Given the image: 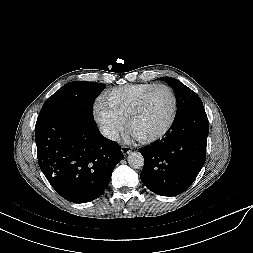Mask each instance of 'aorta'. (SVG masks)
Masks as SVG:
<instances>
[{"instance_id": "aorta-1", "label": "aorta", "mask_w": 253, "mask_h": 253, "mask_svg": "<svg viewBox=\"0 0 253 253\" xmlns=\"http://www.w3.org/2000/svg\"><path fill=\"white\" fill-rule=\"evenodd\" d=\"M127 161L129 165L135 169H139L144 165V157L140 152H130Z\"/></svg>"}]
</instances>
